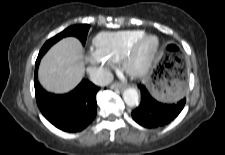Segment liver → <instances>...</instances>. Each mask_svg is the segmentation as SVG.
Instances as JSON below:
<instances>
[{"label": "liver", "instance_id": "liver-1", "mask_svg": "<svg viewBox=\"0 0 225 155\" xmlns=\"http://www.w3.org/2000/svg\"><path fill=\"white\" fill-rule=\"evenodd\" d=\"M84 73L83 48L74 37L63 38L53 45L42 58L38 71L42 86L58 94L73 90Z\"/></svg>", "mask_w": 225, "mask_h": 155}]
</instances>
